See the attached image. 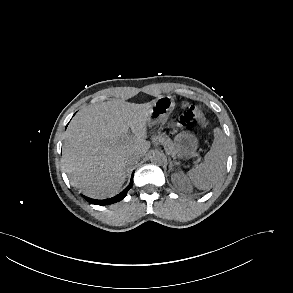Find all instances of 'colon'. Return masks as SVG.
<instances>
[{
  "label": "colon",
  "mask_w": 293,
  "mask_h": 293,
  "mask_svg": "<svg viewBox=\"0 0 293 293\" xmlns=\"http://www.w3.org/2000/svg\"><path fill=\"white\" fill-rule=\"evenodd\" d=\"M184 113L179 119V125L185 126L190 123L193 119H197L201 126L205 127L207 121L197 106L189 103H183Z\"/></svg>",
  "instance_id": "obj_1"
}]
</instances>
